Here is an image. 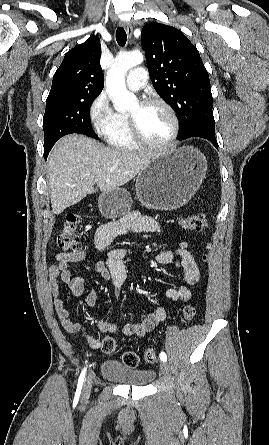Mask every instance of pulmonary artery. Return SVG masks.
I'll return each mask as SVG.
<instances>
[{"mask_svg":"<svg viewBox=\"0 0 269 445\" xmlns=\"http://www.w3.org/2000/svg\"><path fill=\"white\" fill-rule=\"evenodd\" d=\"M147 82V70L143 67L132 69L126 78V85L133 91L142 89Z\"/></svg>","mask_w":269,"mask_h":445,"instance_id":"1","label":"pulmonary artery"}]
</instances>
